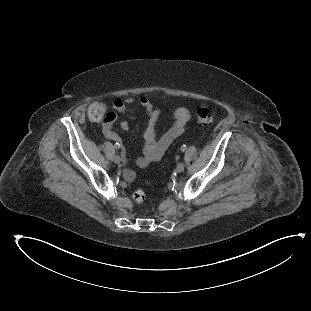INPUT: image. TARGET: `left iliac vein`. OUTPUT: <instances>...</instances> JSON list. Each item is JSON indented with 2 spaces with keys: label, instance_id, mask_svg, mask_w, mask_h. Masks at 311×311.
I'll return each mask as SVG.
<instances>
[{
  "label": "left iliac vein",
  "instance_id": "obj_1",
  "mask_svg": "<svg viewBox=\"0 0 311 311\" xmlns=\"http://www.w3.org/2000/svg\"><path fill=\"white\" fill-rule=\"evenodd\" d=\"M184 167H185L184 163L180 162V163L177 164L176 171L178 173H181V172L184 171Z\"/></svg>",
  "mask_w": 311,
  "mask_h": 311
}]
</instances>
